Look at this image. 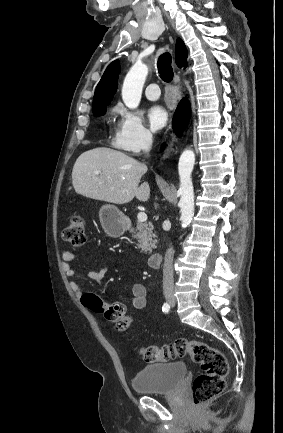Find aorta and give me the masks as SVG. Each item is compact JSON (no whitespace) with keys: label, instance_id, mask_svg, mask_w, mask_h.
Segmentation results:
<instances>
[{"label":"aorta","instance_id":"1","mask_svg":"<svg viewBox=\"0 0 283 433\" xmlns=\"http://www.w3.org/2000/svg\"><path fill=\"white\" fill-rule=\"evenodd\" d=\"M147 74L148 67L143 63H135L127 73L122 86V99L128 108L135 109L138 107ZM194 163V151L191 149L184 150L178 163L180 177L178 193L181 196L179 206L183 228L190 224L194 215V189L191 179Z\"/></svg>","mask_w":283,"mask_h":433}]
</instances>
